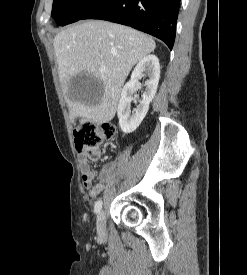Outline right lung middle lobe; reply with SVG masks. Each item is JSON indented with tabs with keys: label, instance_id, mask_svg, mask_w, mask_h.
Returning <instances> with one entry per match:
<instances>
[{
	"label": "right lung middle lobe",
	"instance_id": "1",
	"mask_svg": "<svg viewBox=\"0 0 247 275\" xmlns=\"http://www.w3.org/2000/svg\"><path fill=\"white\" fill-rule=\"evenodd\" d=\"M101 0H54L52 17L64 26L76 22Z\"/></svg>",
	"mask_w": 247,
	"mask_h": 275
}]
</instances>
